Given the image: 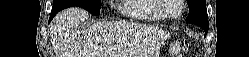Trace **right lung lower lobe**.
Returning a JSON list of instances; mask_svg holds the SVG:
<instances>
[{
    "label": "right lung lower lobe",
    "instance_id": "98d812e1",
    "mask_svg": "<svg viewBox=\"0 0 249 57\" xmlns=\"http://www.w3.org/2000/svg\"><path fill=\"white\" fill-rule=\"evenodd\" d=\"M59 12V10H53L52 9V12H51V16H50V19L49 21H51L53 19V17Z\"/></svg>",
    "mask_w": 249,
    "mask_h": 57
}]
</instances>
